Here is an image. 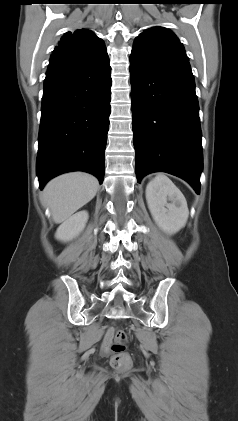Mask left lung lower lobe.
<instances>
[{
    "instance_id": "1",
    "label": "left lung lower lobe",
    "mask_w": 238,
    "mask_h": 421,
    "mask_svg": "<svg viewBox=\"0 0 238 421\" xmlns=\"http://www.w3.org/2000/svg\"><path fill=\"white\" fill-rule=\"evenodd\" d=\"M136 176L166 172L199 194L203 168L199 106L187 59L130 56Z\"/></svg>"
}]
</instances>
